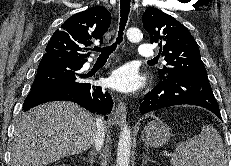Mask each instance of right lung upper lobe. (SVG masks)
I'll return each mask as SVG.
<instances>
[{
    "label": "right lung upper lobe",
    "instance_id": "obj_1",
    "mask_svg": "<svg viewBox=\"0 0 231 166\" xmlns=\"http://www.w3.org/2000/svg\"><path fill=\"white\" fill-rule=\"evenodd\" d=\"M111 14L102 6L79 12L68 18L56 30L45 49L44 55L56 56L75 61H86L87 46L93 39L103 42V34L108 30Z\"/></svg>",
    "mask_w": 231,
    "mask_h": 166
}]
</instances>
